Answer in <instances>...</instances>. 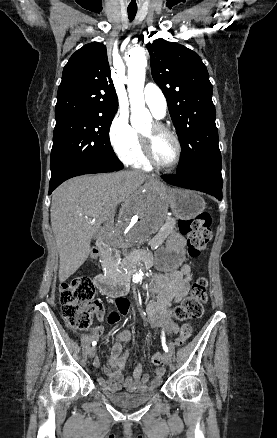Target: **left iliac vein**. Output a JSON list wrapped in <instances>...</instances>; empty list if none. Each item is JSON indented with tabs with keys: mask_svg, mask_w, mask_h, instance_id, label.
Here are the masks:
<instances>
[{
	"mask_svg": "<svg viewBox=\"0 0 277 438\" xmlns=\"http://www.w3.org/2000/svg\"><path fill=\"white\" fill-rule=\"evenodd\" d=\"M163 362L164 364L168 365L171 362V357L168 353L163 354Z\"/></svg>",
	"mask_w": 277,
	"mask_h": 438,
	"instance_id": "4c4485c4",
	"label": "left iliac vein"
}]
</instances>
